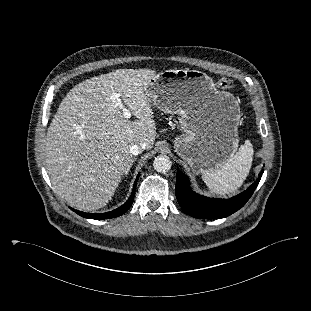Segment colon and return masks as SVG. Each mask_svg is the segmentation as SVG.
Masks as SVG:
<instances>
[{
	"mask_svg": "<svg viewBox=\"0 0 311 311\" xmlns=\"http://www.w3.org/2000/svg\"><path fill=\"white\" fill-rule=\"evenodd\" d=\"M217 85L221 89H229L232 87L233 83L227 78H221L218 80Z\"/></svg>",
	"mask_w": 311,
	"mask_h": 311,
	"instance_id": "5ec220e1",
	"label": "colon"
}]
</instances>
